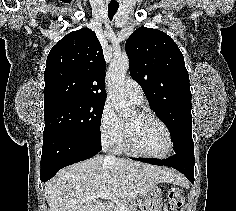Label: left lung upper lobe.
Listing matches in <instances>:
<instances>
[{
  "label": "left lung upper lobe",
  "mask_w": 236,
  "mask_h": 211,
  "mask_svg": "<svg viewBox=\"0 0 236 211\" xmlns=\"http://www.w3.org/2000/svg\"><path fill=\"white\" fill-rule=\"evenodd\" d=\"M131 77L168 127L175 154L193 155L191 91L183 55L166 33L141 27L126 41Z\"/></svg>",
  "instance_id": "left-lung-upper-lobe-1"
}]
</instances>
